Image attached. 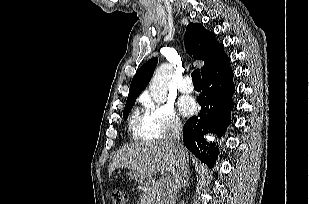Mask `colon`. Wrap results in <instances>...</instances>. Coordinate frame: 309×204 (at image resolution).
Returning a JSON list of instances; mask_svg holds the SVG:
<instances>
[{"label": "colon", "instance_id": "obj_1", "mask_svg": "<svg viewBox=\"0 0 309 204\" xmlns=\"http://www.w3.org/2000/svg\"><path fill=\"white\" fill-rule=\"evenodd\" d=\"M128 194L124 190H115L113 192V201L114 204H126Z\"/></svg>", "mask_w": 309, "mask_h": 204}]
</instances>
